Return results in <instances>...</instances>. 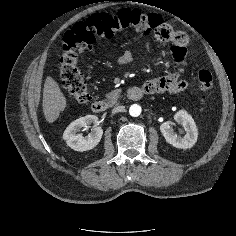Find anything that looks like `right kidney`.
<instances>
[{"mask_svg":"<svg viewBox=\"0 0 236 236\" xmlns=\"http://www.w3.org/2000/svg\"><path fill=\"white\" fill-rule=\"evenodd\" d=\"M95 124L87 136L77 134V132L88 125ZM99 120L95 115H86L73 121L64 131L63 139L67 145L75 151L83 152L93 149L100 142L103 130L98 126Z\"/></svg>","mask_w":236,"mask_h":236,"instance_id":"1","label":"right kidney"}]
</instances>
